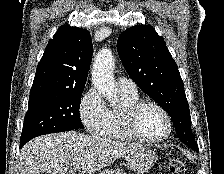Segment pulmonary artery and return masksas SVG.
<instances>
[{
  "label": "pulmonary artery",
  "mask_w": 224,
  "mask_h": 174,
  "mask_svg": "<svg viewBox=\"0 0 224 174\" xmlns=\"http://www.w3.org/2000/svg\"><path fill=\"white\" fill-rule=\"evenodd\" d=\"M117 86L120 92L128 94H137V86L135 82L129 78L125 77L118 78Z\"/></svg>",
  "instance_id": "e3ab8cb5"
}]
</instances>
